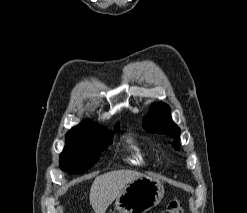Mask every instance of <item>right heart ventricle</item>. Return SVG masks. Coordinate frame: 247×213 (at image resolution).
I'll return each instance as SVG.
<instances>
[{
	"label": "right heart ventricle",
	"instance_id": "right-heart-ventricle-1",
	"mask_svg": "<svg viewBox=\"0 0 247 213\" xmlns=\"http://www.w3.org/2000/svg\"><path fill=\"white\" fill-rule=\"evenodd\" d=\"M131 156L128 159L133 165L142 166L146 164L147 154L141 144L132 138L128 139Z\"/></svg>",
	"mask_w": 247,
	"mask_h": 213
}]
</instances>
